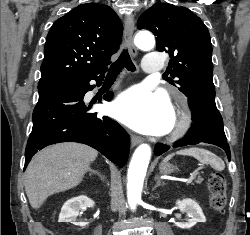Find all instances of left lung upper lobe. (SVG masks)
Segmentation results:
<instances>
[{
	"label": "left lung upper lobe",
	"instance_id": "5c2ea615",
	"mask_svg": "<svg viewBox=\"0 0 250 235\" xmlns=\"http://www.w3.org/2000/svg\"><path fill=\"white\" fill-rule=\"evenodd\" d=\"M138 29L156 36L157 50L170 56L168 82L187 97L215 89L212 44L207 27L192 11L169 3L154 4L138 19Z\"/></svg>",
	"mask_w": 250,
	"mask_h": 235
}]
</instances>
